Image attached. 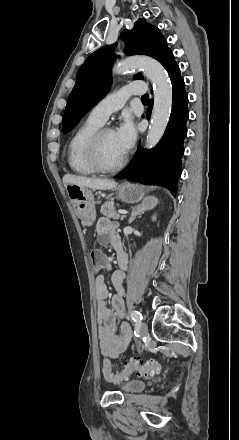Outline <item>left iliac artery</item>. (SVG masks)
I'll use <instances>...</instances> for the list:
<instances>
[{
	"label": "left iliac artery",
	"mask_w": 239,
	"mask_h": 440,
	"mask_svg": "<svg viewBox=\"0 0 239 440\" xmlns=\"http://www.w3.org/2000/svg\"><path fill=\"white\" fill-rule=\"evenodd\" d=\"M130 316H131V318L133 319V321L134 322H137V323H139L141 320H142V315H141V313L140 312H138V311H136V310H133L131 313H130Z\"/></svg>",
	"instance_id": "left-iliac-artery-1"
}]
</instances>
